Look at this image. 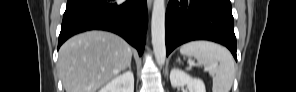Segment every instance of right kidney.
<instances>
[{
  "mask_svg": "<svg viewBox=\"0 0 296 92\" xmlns=\"http://www.w3.org/2000/svg\"><path fill=\"white\" fill-rule=\"evenodd\" d=\"M99 92H134V76L125 72L109 81Z\"/></svg>",
  "mask_w": 296,
  "mask_h": 92,
  "instance_id": "obj_1",
  "label": "right kidney"
}]
</instances>
